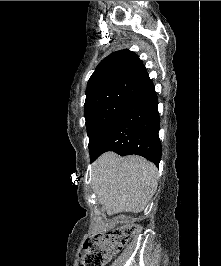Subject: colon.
I'll list each match as a JSON object with an SVG mask.
<instances>
[{
  "label": "colon",
  "instance_id": "colon-1",
  "mask_svg": "<svg viewBox=\"0 0 221 266\" xmlns=\"http://www.w3.org/2000/svg\"><path fill=\"white\" fill-rule=\"evenodd\" d=\"M135 225H125L89 238L85 243L82 263L86 266H105L137 232Z\"/></svg>",
  "mask_w": 221,
  "mask_h": 266
}]
</instances>
